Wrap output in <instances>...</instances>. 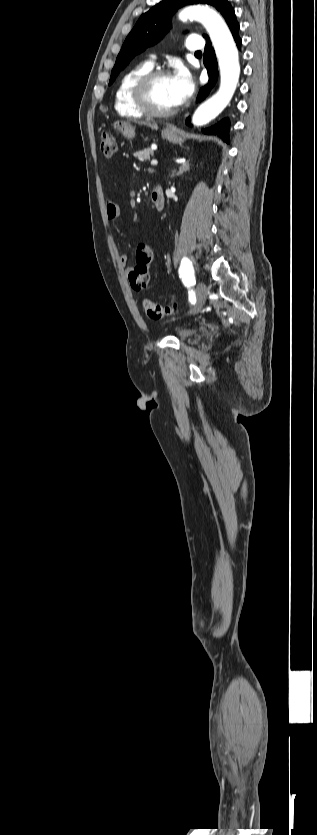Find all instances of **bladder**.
Masks as SVG:
<instances>
[{"label": "bladder", "instance_id": "bladder-1", "mask_svg": "<svg viewBox=\"0 0 317 835\" xmlns=\"http://www.w3.org/2000/svg\"><path fill=\"white\" fill-rule=\"evenodd\" d=\"M196 333L195 329L188 328V327H179L176 330V336L179 340L185 341L194 336Z\"/></svg>", "mask_w": 317, "mask_h": 835}]
</instances>
